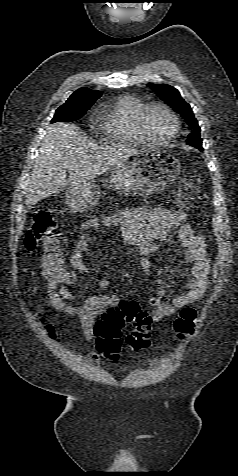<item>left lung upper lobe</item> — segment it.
Returning <instances> with one entry per match:
<instances>
[{
  "label": "left lung upper lobe",
  "instance_id": "obj_1",
  "mask_svg": "<svg viewBox=\"0 0 238 476\" xmlns=\"http://www.w3.org/2000/svg\"><path fill=\"white\" fill-rule=\"evenodd\" d=\"M158 97L170 105L176 112H178L185 121L193 128L192 132L188 135L187 144L193 147H197L202 150V139L200 136V127L196 118L193 115V111L190 105L185 102L181 97L179 91L174 87L167 84H149Z\"/></svg>",
  "mask_w": 238,
  "mask_h": 476
}]
</instances>
